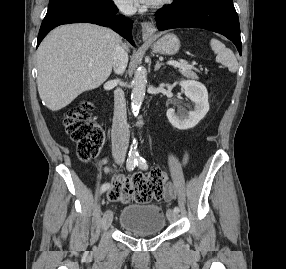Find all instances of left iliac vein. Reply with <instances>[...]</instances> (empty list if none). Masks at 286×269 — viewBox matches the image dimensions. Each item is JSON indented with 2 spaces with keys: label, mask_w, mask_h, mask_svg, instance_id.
<instances>
[{
  "label": "left iliac vein",
  "mask_w": 286,
  "mask_h": 269,
  "mask_svg": "<svg viewBox=\"0 0 286 269\" xmlns=\"http://www.w3.org/2000/svg\"><path fill=\"white\" fill-rule=\"evenodd\" d=\"M167 218H168V220H169L170 222H174V221H176L177 218H178V213L175 212V211L172 210V209H168V211H167Z\"/></svg>",
  "instance_id": "1"
}]
</instances>
